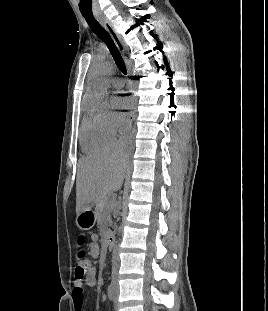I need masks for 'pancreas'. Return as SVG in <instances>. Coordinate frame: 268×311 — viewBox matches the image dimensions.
<instances>
[{"label":"pancreas","instance_id":"obj_1","mask_svg":"<svg viewBox=\"0 0 268 311\" xmlns=\"http://www.w3.org/2000/svg\"><path fill=\"white\" fill-rule=\"evenodd\" d=\"M114 202L109 199H102L96 204L95 216L98 224L103 227V233L106 234L108 225L111 224V211Z\"/></svg>","mask_w":268,"mask_h":311}]
</instances>
